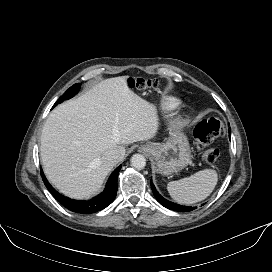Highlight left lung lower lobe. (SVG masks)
Segmentation results:
<instances>
[{"mask_svg": "<svg viewBox=\"0 0 272 272\" xmlns=\"http://www.w3.org/2000/svg\"><path fill=\"white\" fill-rule=\"evenodd\" d=\"M151 184V188L153 191V194L155 195L157 201L163 205L164 207L174 210V211H178V212H189L195 209V207H189V206H183V205H178L176 203L170 202L168 200H166L165 198H163L155 189L152 181H150Z\"/></svg>", "mask_w": 272, "mask_h": 272, "instance_id": "obj_1", "label": "left lung lower lobe"}]
</instances>
